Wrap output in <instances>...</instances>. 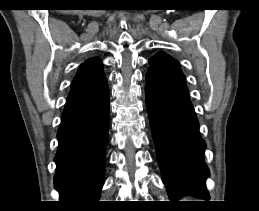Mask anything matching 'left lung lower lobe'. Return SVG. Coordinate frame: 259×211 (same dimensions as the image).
I'll list each match as a JSON object with an SVG mask.
<instances>
[{
    "instance_id": "0a47b994",
    "label": "left lung lower lobe",
    "mask_w": 259,
    "mask_h": 211,
    "mask_svg": "<svg viewBox=\"0 0 259 211\" xmlns=\"http://www.w3.org/2000/svg\"><path fill=\"white\" fill-rule=\"evenodd\" d=\"M146 105L161 167L171 200L194 194L209 198L204 162L206 144L189 98L187 86L165 83L146 76Z\"/></svg>"
}]
</instances>
